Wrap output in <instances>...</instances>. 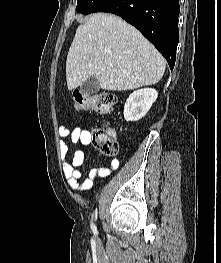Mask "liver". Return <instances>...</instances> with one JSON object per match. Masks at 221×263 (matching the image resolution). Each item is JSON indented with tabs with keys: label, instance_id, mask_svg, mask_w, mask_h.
Wrapping results in <instances>:
<instances>
[{
	"label": "liver",
	"instance_id": "6515ba94",
	"mask_svg": "<svg viewBox=\"0 0 221 263\" xmlns=\"http://www.w3.org/2000/svg\"><path fill=\"white\" fill-rule=\"evenodd\" d=\"M165 67V59L137 29L118 16L97 13L76 30L66 80L69 90L91 76L102 89L132 90L158 83Z\"/></svg>",
	"mask_w": 221,
	"mask_h": 263
}]
</instances>
